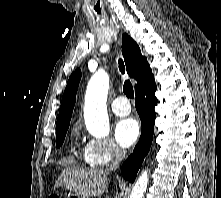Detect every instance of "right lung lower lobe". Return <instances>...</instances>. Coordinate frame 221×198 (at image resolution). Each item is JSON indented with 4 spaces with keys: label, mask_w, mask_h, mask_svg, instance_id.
Returning <instances> with one entry per match:
<instances>
[{
    "label": "right lung lower lobe",
    "mask_w": 221,
    "mask_h": 198,
    "mask_svg": "<svg viewBox=\"0 0 221 198\" xmlns=\"http://www.w3.org/2000/svg\"><path fill=\"white\" fill-rule=\"evenodd\" d=\"M155 91L156 84L154 77L142 88L135 91V106L141 119L142 131L133 153L124 162L121 168L123 177L130 182H134L153 140L154 120L156 117L154 108L157 105Z\"/></svg>",
    "instance_id": "right-lung-lower-lobe-1"
}]
</instances>
